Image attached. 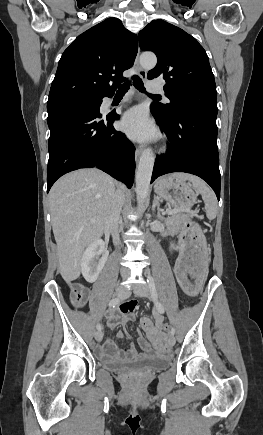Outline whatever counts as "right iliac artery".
Wrapping results in <instances>:
<instances>
[{"label":"right iliac artery","mask_w":263,"mask_h":435,"mask_svg":"<svg viewBox=\"0 0 263 435\" xmlns=\"http://www.w3.org/2000/svg\"><path fill=\"white\" fill-rule=\"evenodd\" d=\"M121 299L120 298H113L112 300H110L109 302V307H115L116 305H118L120 303ZM97 330H101L102 326L101 324H97Z\"/></svg>","instance_id":"82829eb1"}]
</instances>
